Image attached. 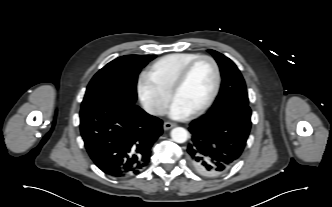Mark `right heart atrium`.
Segmentation results:
<instances>
[{
  "label": "right heart atrium",
  "mask_w": 332,
  "mask_h": 207,
  "mask_svg": "<svg viewBox=\"0 0 332 207\" xmlns=\"http://www.w3.org/2000/svg\"><path fill=\"white\" fill-rule=\"evenodd\" d=\"M138 94L147 110L153 116L162 115L170 101V93L156 85L147 75L138 80Z\"/></svg>",
  "instance_id": "right-heart-atrium-1"
}]
</instances>
